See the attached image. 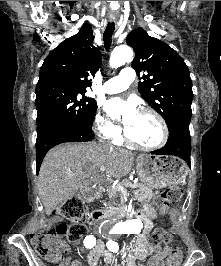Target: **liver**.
Instances as JSON below:
<instances>
[{
	"mask_svg": "<svg viewBox=\"0 0 221 266\" xmlns=\"http://www.w3.org/2000/svg\"><path fill=\"white\" fill-rule=\"evenodd\" d=\"M134 165V154L124 149H109L95 143H64L45 156L38 177V189L45 213L50 215L77 191L88 187L86 177L102 166L106 175L122 178Z\"/></svg>",
	"mask_w": 221,
	"mask_h": 266,
	"instance_id": "6515ba94",
	"label": "liver"
}]
</instances>
